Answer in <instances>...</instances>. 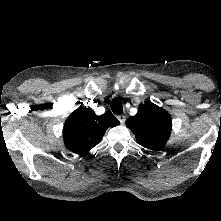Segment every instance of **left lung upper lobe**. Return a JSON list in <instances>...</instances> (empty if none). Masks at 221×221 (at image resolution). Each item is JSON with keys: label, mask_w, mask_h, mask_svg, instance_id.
Wrapping results in <instances>:
<instances>
[{"label": "left lung upper lobe", "mask_w": 221, "mask_h": 221, "mask_svg": "<svg viewBox=\"0 0 221 221\" xmlns=\"http://www.w3.org/2000/svg\"><path fill=\"white\" fill-rule=\"evenodd\" d=\"M140 145L151 150L161 149L169 139L172 121L163 108L148 102L138 108V113L126 121Z\"/></svg>", "instance_id": "5c2ea615"}]
</instances>
